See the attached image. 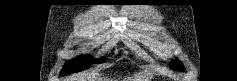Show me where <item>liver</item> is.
<instances>
[{
    "label": "liver",
    "instance_id": "obj_1",
    "mask_svg": "<svg viewBox=\"0 0 237 81\" xmlns=\"http://www.w3.org/2000/svg\"><path fill=\"white\" fill-rule=\"evenodd\" d=\"M67 81H102V78H100L98 75H78L69 78Z\"/></svg>",
    "mask_w": 237,
    "mask_h": 81
}]
</instances>
